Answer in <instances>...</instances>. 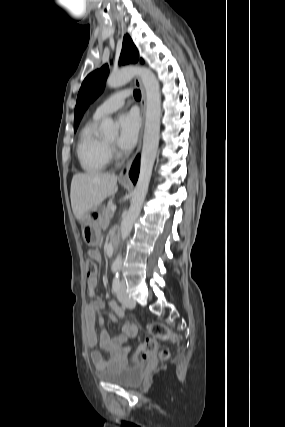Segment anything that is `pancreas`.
<instances>
[{"mask_svg": "<svg viewBox=\"0 0 285 427\" xmlns=\"http://www.w3.org/2000/svg\"><path fill=\"white\" fill-rule=\"evenodd\" d=\"M111 208H112V204H108L107 207L105 208L103 214H102L100 227L103 230L106 229V227L110 223V219L113 217L114 212H112Z\"/></svg>", "mask_w": 285, "mask_h": 427, "instance_id": "cf45deb5", "label": "pancreas"}]
</instances>
